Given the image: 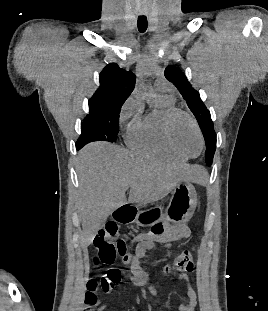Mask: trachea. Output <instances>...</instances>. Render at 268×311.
<instances>
[{
  "mask_svg": "<svg viewBox=\"0 0 268 311\" xmlns=\"http://www.w3.org/2000/svg\"><path fill=\"white\" fill-rule=\"evenodd\" d=\"M147 17L146 16H139L137 21L138 30L141 33H144L147 30Z\"/></svg>",
  "mask_w": 268,
  "mask_h": 311,
  "instance_id": "3493384b",
  "label": "trachea"
}]
</instances>
